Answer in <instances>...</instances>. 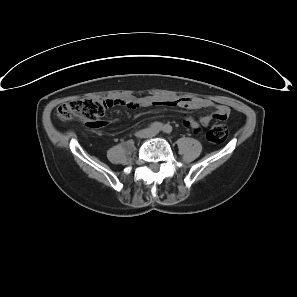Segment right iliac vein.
<instances>
[{"mask_svg": "<svg viewBox=\"0 0 297 297\" xmlns=\"http://www.w3.org/2000/svg\"><path fill=\"white\" fill-rule=\"evenodd\" d=\"M147 130H141V131H138L137 133H136V136L138 137V138H144V137H146L147 136Z\"/></svg>", "mask_w": 297, "mask_h": 297, "instance_id": "obj_1", "label": "right iliac vein"}]
</instances>
